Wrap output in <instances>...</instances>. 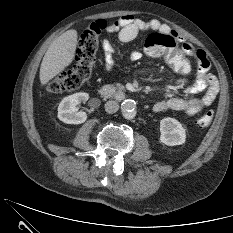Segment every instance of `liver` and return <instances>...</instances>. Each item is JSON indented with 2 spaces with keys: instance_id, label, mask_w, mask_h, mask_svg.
I'll return each instance as SVG.
<instances>
[{
  "instance_id": "obj_1",
  "label": "liver",
  "mask_w": 233,
  "mask_h": 233,
  "mask_svg": "<svg viewBox=\"0 0 233 233\" xmlns=\"http://www.w3.org/2000/svg\"><path fill=\"white\" fill-rule=\"evenodd\" d=\"M76 45L77 31L74 29L64 32L51 43L40 66L39 76L42 85L47 84L72 63Z\"/></svg>"
}]
</instances>
